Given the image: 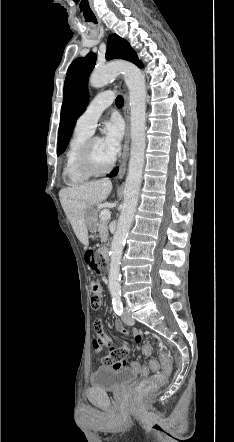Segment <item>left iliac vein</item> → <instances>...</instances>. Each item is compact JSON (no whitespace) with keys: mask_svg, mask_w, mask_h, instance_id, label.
Masks as SVG:
<instances>
[{"mask_svg":"<svg viewBox=\"0 0 234 442\" xmlns=\"http://www.w3.org/2000/svg\"><path fill=\"white\" fill-rule=\"evenodd\" d=\"M122 320L127 325H133L135 323V321L131 317L130 313L126 310L122 314Z\"/></svg>","mask_w":234,"mask_h":442,"instance_id":"left-iliac-vein-1","label":"left iliac vein"}]
</instances>
